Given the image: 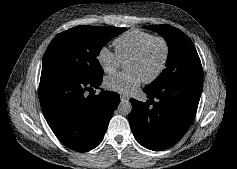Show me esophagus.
Here are the masks:
<instances>
[{"label":"esophagus","instance_id":"1","mask_svg":"<svg viewBox=\"0 0 237 169\" xmlns=\"http://www.w3.org/2000/svg\"><path fill=\"white\" fill-rule=\"evenodd\" d=\"M120 99H121L122 102H129V100H130V98L128 96H125V95H121Z\"/></svg>","mask_w":237,"mask_h":169}]
</instances>
